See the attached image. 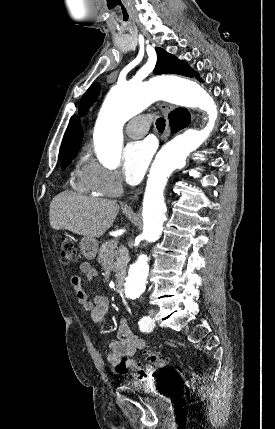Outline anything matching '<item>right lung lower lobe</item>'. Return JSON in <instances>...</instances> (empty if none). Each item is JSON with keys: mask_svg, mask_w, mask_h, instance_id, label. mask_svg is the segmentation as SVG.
<instances>
[{"mask_svg": "<svg viewBox=\"0 0 275 429\" xmlns=\"http://www.w3.org/2000/svg\"><path fill=\"white\" fill-rule=\"evenodd\" d=\"M172 131L176 132L190 123V114L185 109H177L170 114Z\"/></svg>", "mask_w": 275, "mask_h": 429, "instance_id": "98d812e1", "label": "right lung lower lobe"}]
</instances>
